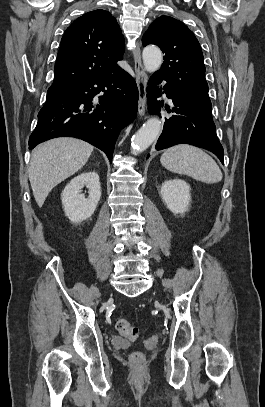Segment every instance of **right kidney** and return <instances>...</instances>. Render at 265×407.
<instances>
[{
    "label": "right kidney",
    "instance_id": "right-kidney-1",
    "mask_svg": "<svg viewBox=\"0 0 265 407\" xmlns=\"http://www.w3.org/2000/svg\"><path fill=\"white\" fill-rule=\"evenodd\" d=\"M84 186L89 189L88 198L81 194ZM100 197L98 174L95 171L83 172L72 179L63 190L61 199L65 215L74 223L90 218L96 210Z\"/></svg>",
    "mask_w": 265,
    "mask_h": 407
}]
</instances>
